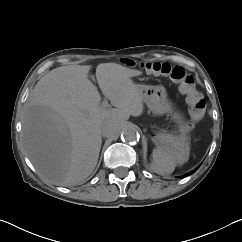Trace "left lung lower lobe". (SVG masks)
<instances>
[{
	"mask_svg": "<svg viewBox=\"0 0 242 242\" xmlns=\"http://www.w3.org/2000/svg\"><path fill=\"white\" fill-rule=\"evenodd\" d=\"M193 172H191V173H189V174H187L186 176H188V175H190V174H192Z\"/></svg>",
	"mask_w": 242,
	"mask_h": 242,
	"instance_id": "obj_1",
	"label": "left lung lower lobe"
}]
</instances>
